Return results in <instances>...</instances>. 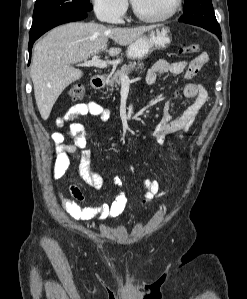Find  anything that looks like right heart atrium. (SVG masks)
<instances>
[{
  "instance_id": "d8ad5b80",
  "label": "right heart atrium",
  "mask_w": 247,
  "mask_h": 299,
  "mask_svg": "<svg viewBox=\"0 0 247 299\" xmlns=\"http://www.w3.org/2000/svg\"><path fill=\"white\" fill-rule=\"evenodd\" d=\"M91 4L97 17L110 23H118L128 7L127 0H91Z\"/></svg>"
}]
</instances>
